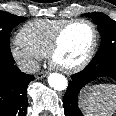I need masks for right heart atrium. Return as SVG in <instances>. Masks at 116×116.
Here are the masks:
<instances>
[{
  "label": "right heart atrium",
  "instance_id": "d8ad5b80",
  "mask_svg": "<svg viewBox=\"0 0 116 116\" xmlns=\"http://www.w3.org/2000/svg\"><path fill=\"white\" fill-rule=\"evenodd\" d=\"M10 55L15 64L26 73L34 72L42 59V56L22 46L17 41L11 48Z\"/></svg>",
  "mask_w": 116,
  "mask_h": 116
}]
</instances>
